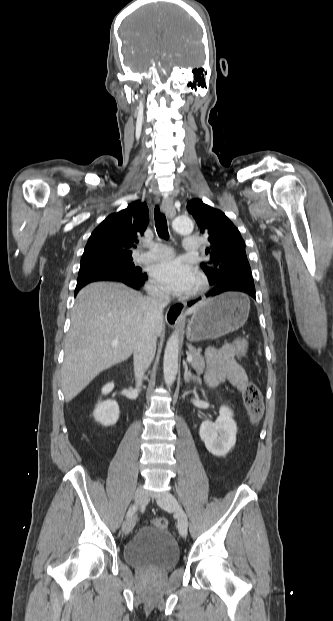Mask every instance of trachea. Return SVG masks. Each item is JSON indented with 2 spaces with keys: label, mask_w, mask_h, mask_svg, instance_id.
Wrapping results in <instances>:
<instances>
[{
  "label": "trachea",
  "mask_w": 333,
  "mask_h": 621,
  "mask_svg": "<svg viewBox=\"0 0 333 621\" xmlns=\"http://www.w3.org/2000/svg\"><path fill=\"white\" fill-rule=\"evenodd\" d=\"M154 219H155V227L156 231L160 238L165 240L169 239L167 219L163 213L160 211V207L157 205L154 209Z\"/></svg>",
  "instance_id": "1"
}]
</instances>
